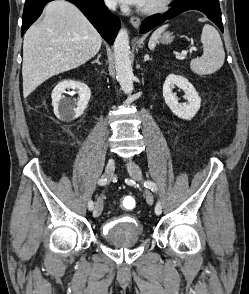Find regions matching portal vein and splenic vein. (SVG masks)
<instances>
[{"label": "portal vein and splenic vein", "instance_id": "portal-vein-and-splenic-vein-1", "mask_svg": "<svg viewBox=\"0 0 249 294\" xmlns=\"http://www.w3.org/2000/svg\"><path fill=\"white\" fill-rule=\"evenodd\" d=\"M192 51H196V49H195V48L190 49V52H192ZM181 55H182L183 57H185V56L187 55V52H186V51H183V52L181 53Z\"/></svg>", "mask_w": 249, "mask_h": 294}]
</instances>
